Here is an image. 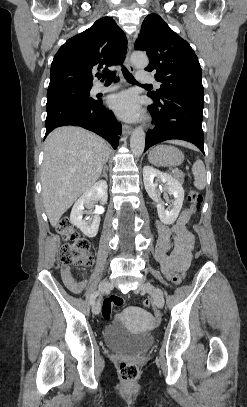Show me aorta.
<instances>
[{"label":"aorta","mask_w":247,"mask_h":407,"mask_svg":"<svg viewBox=\"0 0 247 407\" xmlns=\"http://www.w3.org/2000/svg\"><path fill=\"white\" fill-rule=\"evenodd\" d=\"M131 63L136 68H145L148 65V57L143 52H134L130 57ZM145 147V133L141 127L136 128L130 137V148L135 156H140Z\"/></svg>","instance_id":"762f6f07"}]
</instances>
